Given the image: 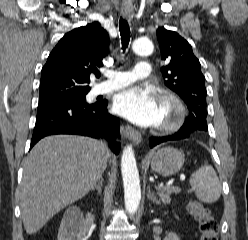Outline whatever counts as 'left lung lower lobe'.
<instances>
[{
	"label": "left lung lower lobe",
	"instance_id": "0a47b994",
	"mask_svg": "<svg viewBox=\"0 0 248 240\" xmlns=\"http://www.w3.org/2000/svg\"><path fill=\"white\" fill-rule=\"evenodd\" d=\"M189 137H190V132H185V131H178L177 133H175L173 135L165 136V137H151L150 138V147L152 148V147H154L157 144H160L162 142L187 139Z\"/></svg>",
	"mask_w": 248,
	"mask_h": 240
}]
</instances>
